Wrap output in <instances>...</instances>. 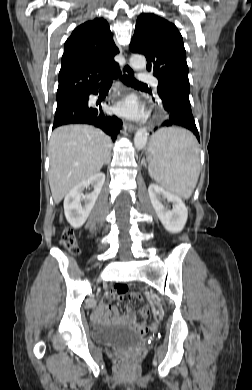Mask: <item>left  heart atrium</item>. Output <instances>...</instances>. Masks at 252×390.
Returning a JSON list of instances; mask_svg holds the SVG:
<instances>
[{"label":"left heart atrium","instance_id":"obj_1","mask_svg":"<svg viewBox=\"0 0 252 390\" xmlns=\"http://www.w3.org/2000/svg\"><path fill=\"white\" fill-rule=\"evenodd\" d=\"M114 111L121 116L133 119L142 115V108L134 97H127L118 102L114 107Z\"/></svg>","mask_w":252,"mask_h":390}]
</instances>
